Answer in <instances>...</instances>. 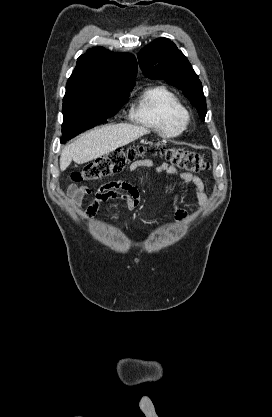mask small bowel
Returning a JSON list of instances; mask_svg holds the SVG:
<instances>
[{
	"label": "small bowel",
	"mask_w": 272,
	"mask_h": 417,
	"mask_svg": "<svg viewBox=\"0 0 272 417\" xmlns=\"http://www.w3.org/2000/svg\"><path fill=\"white\" fill-rule=\"evenodd\" d=\"M153 168L158 173H164L177 177L183 182L189 184L198 199L203 204L206 201L205 186L201 178L188 172H180L174 166L166 163L155 164L152 160L142 159L131 163L129 170L135 172L138 168ZM91 190L86 186L69 185L67 189V197L75 209L79 208L81 200L90 195ZM182 196L181 187H177L174 195V203L176 208L175 219L178 223H183L187 218V212L179 205ZM111 199H121L125 201L130 209H135L140 203V193L138 189L130 183L123 181H113L102 185L94 194L90 204L85 210V216L88 221H92L99 208V205Z\"/></svg>",
	"instance_id": "c3829d8e"
}]
</instances>
